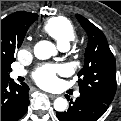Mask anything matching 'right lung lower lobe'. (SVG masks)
<instances>
[{
    "instance_id": "right-lung-lower-lobe-1",
    "label": "right lung lower lobe",
    "mask_w": 121,
    "mask_h": 121,
    "mask_svg": "<svg viewBox=\"0 0 121 121\" xmlns=\"http://www.w3.org/2000/svg\"><path fill=\"white\" fill-rule=\"evenodd\" d=\"M29 87L15 83L10 77L1 79V121H16L27 111Z\"/></svg>"
}]
</instances>
